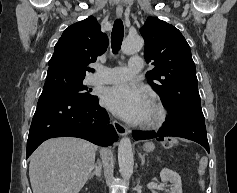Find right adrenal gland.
I'll return each instance as SVG.
<instances>
[{
  "instance_id": "2a0ac1e0",
  "label": "right adrenal gland",
  "mask_w": 237,
  "mask_h": 193,
  "mask_svg": "<svg viewBox=\"0 0 237 193\" xmlns=\"http://www.w3.org/2000/svg\"><path fill=\"white\" fill-rule=\"evenodd\" d=\"M102 172V165L99 160H97V163L94 166L93 172L90 174L89 179L93 178V176H97L98 178L101 177Z\"/></svg>"
}]
</instances>
